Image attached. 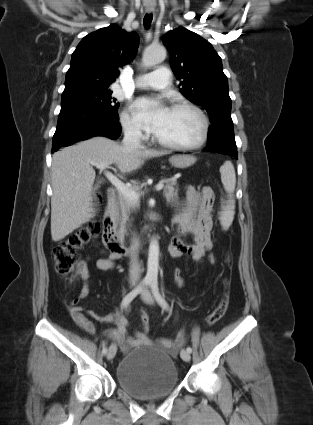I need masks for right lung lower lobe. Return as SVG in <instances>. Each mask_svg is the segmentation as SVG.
<instances>
[{"mask_svg":"<svg viewBox=\"0 0 313 425\" xmlns=\"http://www.w3.org/2000/svg\"><path fill=\"white\" fill-rule=\"evenodd\" d=\"M117 113L74 101L61 103L52 152L94 136L117 139L121 134Z\"/></svg>","mask_w":313,"mask_h":425,"instance_id":"right-lung-lower-lobe-1","label":"right lung lower lobe"}]
</instances>
